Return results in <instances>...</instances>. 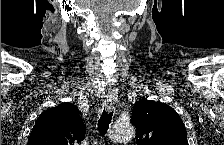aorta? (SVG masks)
I'll return each mask as SVG.
<instances>
[{
    "instance_id": "1",
    "label": "aorta",
    "mask_w": 224,
    "mask_h": 145,
    "mask_svg": "<svg viewBox=\"0 0 224 145\" xmlns=\"http://www.w3.org/2000/svg\"><path fill=\"white\" fill-rule=\"evenodd\" d=\"M135 136V129L130 123H116L109 131V138L114 142L130 141Z\"/></svg>"
}]
</instances>
